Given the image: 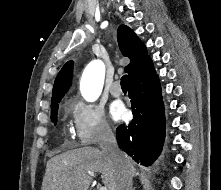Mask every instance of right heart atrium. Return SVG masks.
Segmentation results:
<instances>
[{
  "label": "right heart atrium",
  "mask_w": 221,
  "mask_h": 190,
  "mask_svg": "<svg viewBox=\"0 0 221 190\" xmlns=\"http://www.w3.org/2000/svg\"><path fill=\"white\" fill-rule=\"evenodd\" d=\"M71 109L75 135L81 145H94L112 136L111 126L100 106L76 99Z\"/></svg>",
  "instance_id": "obj_1"
}]
</instances>
